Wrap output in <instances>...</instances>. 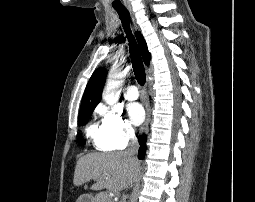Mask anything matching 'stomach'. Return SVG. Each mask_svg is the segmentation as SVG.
<instances>
[{"label":"stomach","instance_id":"0dacf381","mask_svg":"<svg viewBox=\"0 0 255 202\" xmlns=\"http://www.w3.org/2000/svg\"><path fill=\"white\" fill-rule=\"evenodd\" d=\"M76 202H94V198L89 195L80 196Z\"/></svg>","mask_w":255,"mask_h":202}]
</instances>
